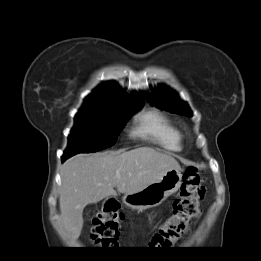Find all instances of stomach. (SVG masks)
Returning a JSON list of instances; mask_svg holds the SVG:
<instances>
[{
  "mask_svg": "<svg viewBox=\"0 0 261 261\" xmlns=\"http://www.w3.org/2000/svg\"><path fill=\"white\" fill-rule=\"evenodd\" d=\"M181 169L167 171L164 176L142 190L125 194L123 203L133 210H145L161 204L181 186Z\"/></svg>",
  "mask_w": 261,
  "mask_h": 261,
  "instance_id": "obj_1",
  "label": "stomach"
}]
</instances>
